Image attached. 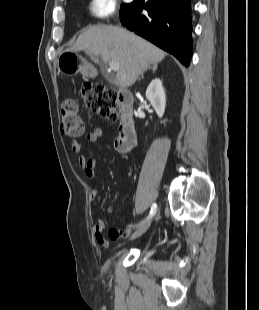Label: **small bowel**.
I'll list each match as a JSON object with an SVG mask.
<instances>
[{
	"instance_id": "small-bowel-1",
	"label": "small bowel",
	"mask_w": 259,
	"mask_h": 310,
	"mask_svg": "<svg viewBox=\"0 0 259 310\" xmlns=\"http://www.w3.org/2000/svg\"><path fill=\"white\" fill-rule=\"evenodd\" d=\"M103 136V130L101 128H95L90 133L87 134L86 139L90 143H97ZM71 149L74 153L78 154V164L80 168L84 170L85 175L88 178H94L96 176V161L94 159H88L83 154H81L83 146L78 141L71 142ZM90 197L95 200L98 197V190L93 189L91 191ZM106 227V222L102 219L98 220L93 225V234L96 242L103 246H108V241L103 235V231ZM130 232L129 228L124 230L110 229L109 236L111 239H118Z\"/></svg>"
}]
</instances>
